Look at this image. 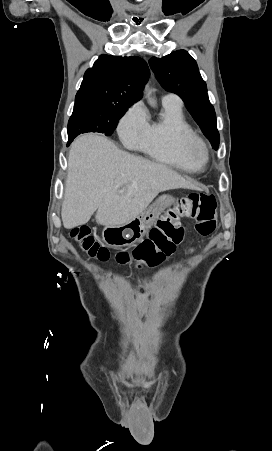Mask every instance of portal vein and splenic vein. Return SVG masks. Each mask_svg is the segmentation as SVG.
I'll list each match as a JSON object with an SVG mask.
<instances>
[{
    "label": "portal vein and splenic vein",
    "mask_w": 272,
    "mask_h": 451,
    "mask_svg": "<svg viewBox=\"0 0 272 451\" xmlns=\"http://www.w3.org/2000/svg\"><path fill=\"white\" fill-rule=\"evenodd\" d=\"M119 194H123L124 190H118Z\"/></svg>",
    "instance_id": "portal-vein-and-splenic-vein-1"
}]
</instances>
